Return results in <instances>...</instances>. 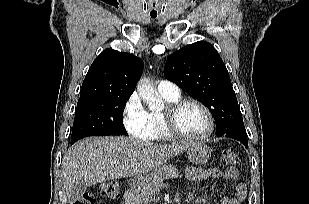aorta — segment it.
<instances>
[{
  "label": "aorta",
  "instance_id": "obj_1",
  "mask_svg": "<svg viewBox=\"0 0 309 204\" xmlns=\"http://www.w3.org/2000/svg\"><path fill=\"white\" fill-rule=\"evenodd\" d=\"M137 91L139 96L148 105L151 110H161L164 107L161 99L156 97L155 89L149 85L146 81L140 80L137 85Z\"/></svg>",
  "mask_w": 309,
  "mask_h": 204
}]
</instances>
